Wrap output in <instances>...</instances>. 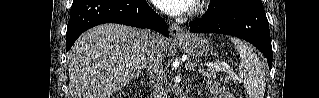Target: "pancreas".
I'll return each instance as SVG.
<instances>
[{
    "label": "pancreas",
    "mask_w": 319,
    "mask_h": 98,
    "mask_svg": "<svg viewBox=\"0 0 319 98\" xmlns=\"http://www.w3.org/2000/svg\"><path fill=\"white\" fill-rule=\"evenodd\" d=\"M199 73H201L204 77L208 79H215L216 72L219 71L215 67H208V68H200Z\"/></svg>",
    "instance_id": "pancreas-1"
}]
</instances>
